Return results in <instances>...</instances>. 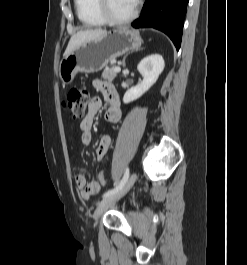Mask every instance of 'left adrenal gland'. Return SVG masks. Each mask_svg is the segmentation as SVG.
I'll return each mask as SVG.
<instances>
[{
	"label": "left adrenal gland",
	"mask_w": 247,
	"mask_h": 265,
	"mask_svg": "<svg viewBox=\"0 0 247 265\" xmlns=\"http://www.w3.org/2000/svg\"><path fill=\"white\" fill-rule=\"evenodd\" d=\"M125 60H126V56L123 58V61H122V65H123V67H125Z\"/></svg>",
	"instance_id": "a2214340"
}]
</instances>
